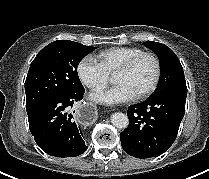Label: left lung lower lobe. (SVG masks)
<instances>
[{"instance_id":"0a47b994","label":"left lung lower lobe","mask_w":209,"mask_h":179,"mask_svg":"<svg viewBox=\"0 0 209 179\" xmlns=\"http://www.w3.org/2000/svg\"><path fill=\"white\" fill-rule=\"evenodd\" d=\"M187 88H176L128 108L122 148L136 158L158 157L175 141L185 113Z\"/></svg>"}]
</instances>
